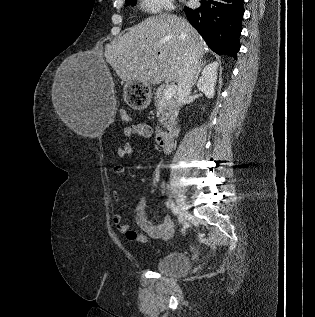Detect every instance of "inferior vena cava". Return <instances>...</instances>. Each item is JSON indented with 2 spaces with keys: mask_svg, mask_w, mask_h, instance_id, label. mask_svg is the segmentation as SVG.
Masks as SVG:
<instances>
[{
  "mask_svg": "<svg viewBox=\"0 0 315 317\" xmlns=\"http://www.w3.org/2000/svg\"><path fill=\"white\" fill-rule=\"evenodd\" d=\"M199 58L200 57L198 55L192 52L186 57L183 74L178 80V88L176 94L177 107H181L190 95L199 65Z\"/></svg>",
  "mask_w": 315,
  "mask_h": 317,
  "instance_id": "obj_1",
  "label": "inferior vena cava"
}]
</instances>
